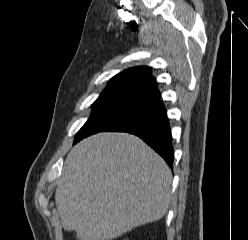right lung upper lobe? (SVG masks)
<instances>
[{
    "instance_id": "1",
    "label": "right lung upper lobe",
    "mask_w": 248,
    "mask_h": 240,
    "mask_svg": "<svg viewBox=\"0 0 248 240\" xmlns=\"http://www.w3.org/2000/svg\"><path fill=\"white\" fill-rule=\"evenodd\" d=\"M104 91L132 97L137 101L160 95L155 79L147 67H134L117 74L109 81Z\"/></svg>"
}]
</instances>
